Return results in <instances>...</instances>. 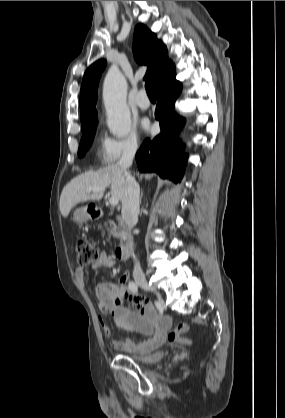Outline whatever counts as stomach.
<instances>
[{
  "instance_id": "stomach-1",
  "label": "stomach",
  "mask_w": 285,
  "mask_h": 418,
  "mask_svg": "<svg viewBox=\"0 0 285 418\" xmlns=\"http://www.w3.org/2000/svg\"><path fill=\"white\" fill-rule=\"evenodd\" d=\"M90 217L91 215L88 212V208L82 207V208L76 209V211L74 212L73 219L77 223H83L87 221Z\"/></svg>"
}]
</instances>
